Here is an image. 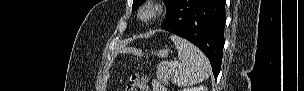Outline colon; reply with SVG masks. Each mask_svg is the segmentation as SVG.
<instances>
[{
    "instance_id": "colon-1",
    "label": "colon",
    "mask_w": 304,
    "mask_h": 91,
    "mask_svg": "<svg viewBox=\"0 0 304 91\" xmlns=\"http://www.w3.org/2000/svg\"><path fill=\"white\" fill-rule=\"evenodd\" d=\"M129 91H147L148 84L147 80L144 78H140L139 76H132L130 79V84L126 88Z\"/></svg>"
}]
</instances>
